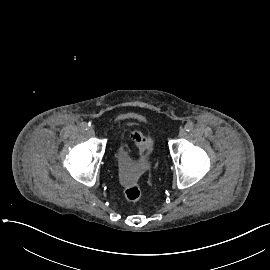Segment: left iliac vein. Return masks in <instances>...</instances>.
I'll list each match as a JSON object with an SVG mask.
<instances>
[{"mask_svg":"<svg viewBox=\"0 0 270 270\" xmlns=\"http://www.w3.org/2000/svg\"><path fill=\"white\" fill-rule=\"evenodd\" d=\"M187 135V132L184 128H182L180 131H179V137L180 138H183Z\"/></svg>","mask_w":270,"mask_h":270,"instance_id":"4c4485c4","label":"left iliac vein"}]
</instances>
